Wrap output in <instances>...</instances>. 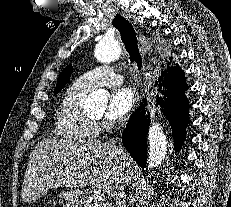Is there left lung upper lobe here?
<instances>
[{
  "label": "left lung upper lobe",
  "instance_id": "5c2ea615",
  "mask_svg": "<svg viewBox=\"0 0 231 207\" xmlns=\"http://www.w3.org/2000/svg\"><path fill=\"white\" fill-rule=\"evenodd\" d=\"M73 72V69L71 66H67L59 76V79L57 81L55 90H54V95H56L58 92L61 91V89L65 86V84L69 81L70 75Z\"/></svg>",
  "mask_w": 231,
  "mask_h": 207
}]
</instances>
